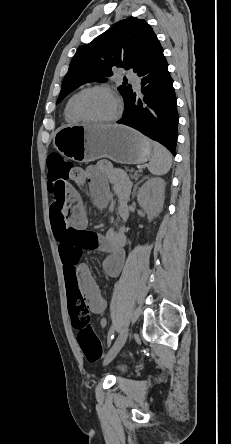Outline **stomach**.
<instances>
[{"instance_id": "stomach-1", "label": "stomach", "mask_w": 231, "mask_h": 444, "mask_svg": "<svg viewBox=\"0 0 231 444\" xmlns=\"http://www.w3.org/2000/svg\"><path fill=\"white\" fill-rule=\"evenodd\" d=\"M54 147L77 162L109 158L121 164H142L153 155L151 141L121 125L71 124L58 128Z\"/></svg>"}]
</instances>
